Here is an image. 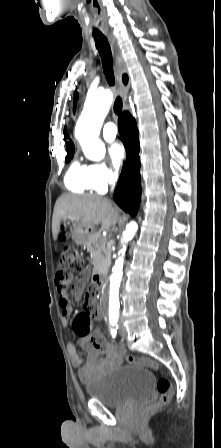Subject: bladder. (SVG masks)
Instances as JSON below:
<instances>
[{
	"instance_id": "bladder-1",
	"label": "bladder",
	"mask_w": 221,
	"mask_h": 448,
	"mask_svg": "<svg viewBox=\"0 0 221 448\" xmlns=\"http://www.w3.org/2000/svg\"><path fill=\"white\" fill-rule=\"evenodd\" d=\"M87 395L109 407H122L129 403L151 398L154 377L146 369L119 365L98 374L85 385Z\"/></svg>"
}]
</instances>
